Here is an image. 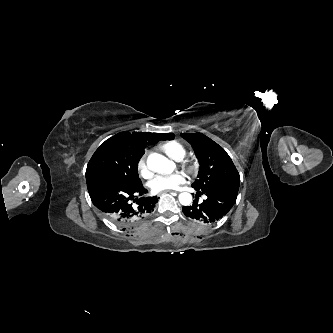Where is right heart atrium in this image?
<instances>
[{
  "label": "right heart atrium",
  "mask_w": 333,
  "mask_h": 333,
  "mask_svg": "<svg viewBox=\"0 0 333 333\" xmlns=\"http://www.w3.org/2000/svg\"><path fill=\"white\" fill-rule=\"evenodd\" d=\"M138 170L143 177H150L151 170L147 163V156L144 155L138 162Z\"/></svg>",
  "instance_id": "d8ad5b80"
}]
</instances>
